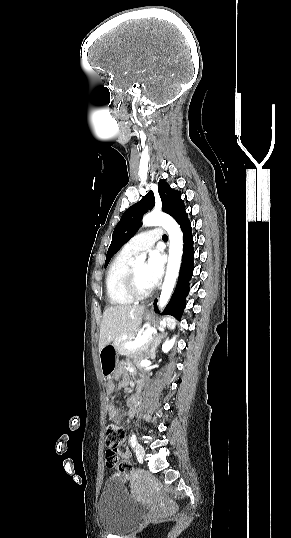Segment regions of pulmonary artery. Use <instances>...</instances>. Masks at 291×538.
<instances>
[{
  "label": "pulmonary artery",
  "instance_id": "pulmonary-artery-1",
  "mask_svg": "<svg viewBox=\"0 0 291 538\" xmlns=\"http://www.w3.org/2000/svg\"><path fill=\"white\" fill-rule=\"evenodd\" d=\"M162 236L163 231L160 228L140 233L127 242L124 249L133 254L146 251L150 249L157 240L161 239Z\"/></svg>",
  "mask_w": 291,
  "mask_h": 538
}]
</instances>
